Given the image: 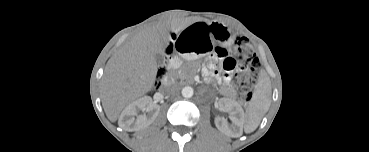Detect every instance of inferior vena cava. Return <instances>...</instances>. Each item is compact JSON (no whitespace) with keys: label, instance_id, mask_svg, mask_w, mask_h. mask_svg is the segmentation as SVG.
<instances>
[{"label":"inferior vena cava","instance_id":"obj_1","mask_svg":"<svg viewBox=\"0 0 369 152\" xmlns=\"http://www.w3.org/2000/svg\"><path fill=\"white\" fill-rule=\"evenodd\" d=\"M178 91V85L171 82L164 88V92L167 95L175 94Z\"/></svg>","mask_w":369,"mask_h":152}]
</instances>
